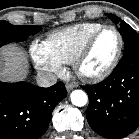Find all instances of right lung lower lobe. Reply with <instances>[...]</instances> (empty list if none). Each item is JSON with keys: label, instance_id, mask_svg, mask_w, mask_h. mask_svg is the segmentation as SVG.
<instances>
[{"label": "right lung lower lobe", "instance_id": "1", "mask_svg": "<svg viewBox=\"0 0 139 139\" xmlns=\"http://www.w3.org/2000/svg\"><path fill=\"white\" fill-rule=\"evenodd\" d=\"M7 43H0V47ZM66 95L62 82L42 88L27 82L0 81V139L40 138L53 109Z\"/></svg>", "mask_w": 139, "mask_h": 139}]
</instances>
